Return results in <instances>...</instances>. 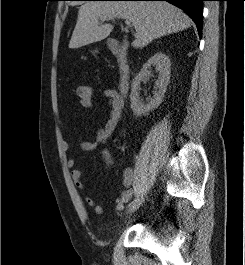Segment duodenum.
<instances>
[{
	"label": "duodenum",
	"instance_id": "1",
	"mask_svg": "<svg viewBox=\"0 0 245 265\" xmlns=\"http://www.w3.org/2000/svg\"><path fill=\"white\" fill-rule=\"evenodd\" d=\"M109 49L117 61L119 90L122 94H126L130 82V66L126 46L118 40H112Z\"/></svg>",
	"mask_w": 245,
	"mask_h": 265
}]
</instances>
